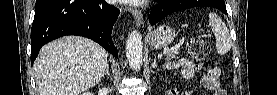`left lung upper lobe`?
<instances>
[{"label":"left lung upper lobe","mask_w":277,"mask_h":95,"mask_svg":"<svg viewBox=\"0 0 277 95\" xmlns=\"http://www.w3.org/2000/svg\"><path fill=\"white\" fill-rule=\"evenodd\" d=\"M224 0H203L198 5H193V7L205 6V7H221L224 6Z\"/></svg>","instance_id":"1"}]
</instances>
